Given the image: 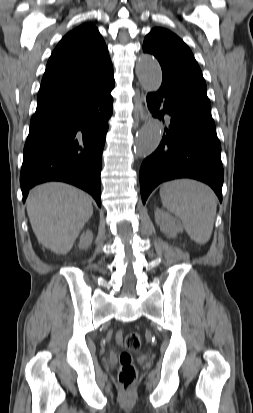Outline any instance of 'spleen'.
Here are the masks:
<instances>
[{"label":"spleen","instance_id":"3e777b00","mask_svg":"<svg viewBox=\"0 0 253 413\" xmlns=\"http://www.w3.org/2000/svg\"><path fill=\"white\" fill-rule=\"evenodd\" d=\"M160 197L163 206L181 219L193 241L200 245L209 241L217 209V197L209 186L195 180H175L162 185Z\"/></svg>","mask_w":253,"mask_h":413}]
</instances>
